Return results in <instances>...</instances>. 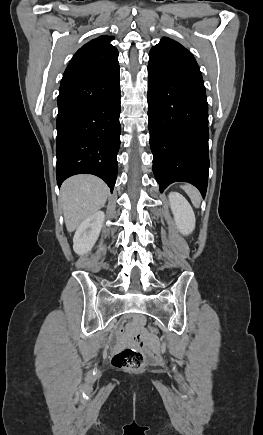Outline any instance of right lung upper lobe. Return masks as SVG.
I'll return each instance as SVG.
<instances>
[{
  "label": "right lung upper lobe",
  "mask_w": 263,
  "mask_h": 435,
  "mask_svg": "<svg viewBox=\"0 0 263 435\" xmlns=\"http://www.w3.org/2000/svg\"><path fill=\"white\" fill-rule=\"evenodd\" d=\"M112 36H100L83 45L68 64L61 85L91 78L116 67L118 50L110 44Z\"/></svg>",
  "instance_id": "obj_1"
}]
</instances>
